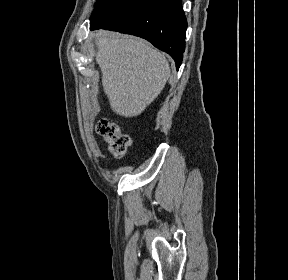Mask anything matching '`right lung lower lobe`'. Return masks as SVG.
<instances>
[{"label": "right lung lower lobe", "mask_w": 288, "mask_h": 280, "mask_svg": "<svg viewBox=\"0 0 288 280\" xmlns=\"http://www.w3.org/2000/svg\"><path fill=\"white\" fill-rule=\"evenodd\" d=\"M90 29L142 37L168 53L179 69L185 51L187 20L181 0H119L104 9Z\"/></svg>", "instance_id": "obj_1"}]
</instances>
